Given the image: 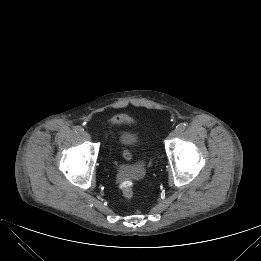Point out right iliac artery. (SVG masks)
<instances>
[{
    "label": "right iliac artery",
    "mask_w": 261,
    "mask_h": 261,
    "mask_svg": "<svg viewBox=\"0 0 261 261\" xmlns=\"http://www.w3.org/2000/svg\"><path fill=\"white\" fill-rule=\"evenodd\" d=\"M75 132L79 133V134H82L84 132V129L81 126H76L75 127Z\"/></svg>",
    "instance_id": "1"
}]
</instances>
